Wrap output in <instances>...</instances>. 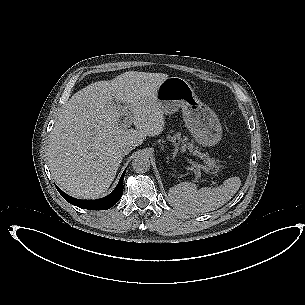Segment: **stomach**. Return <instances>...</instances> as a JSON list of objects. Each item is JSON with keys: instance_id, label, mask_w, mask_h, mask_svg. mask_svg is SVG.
Segmentation results:
<instances>
[{"instance_id": "obj_1", "label": "stomach", "mask_w": 305, "mask_h": 305, "mask_svg": "<svg viewBox=\"0 0 305 305\" xmlns=\"http://www.w3.org/2000/svg\"><path fill=\"white\" fill-rule=\"evenodd\" d=\"M156 99L165 114L181 109L185 126L202 145L211 146L221 138V126L215 113L202 103L185 79L177 76L163 80L157 90Z\"/></svg>"}]
</instances>
